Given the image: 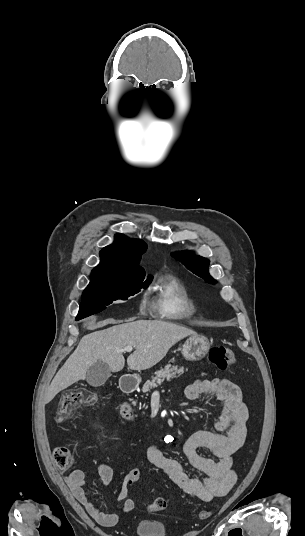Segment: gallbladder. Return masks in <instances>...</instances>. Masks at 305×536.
I'll use <instances>...</instances> for the list:
<instances>
[{
  "label": "gallbladder",
  "instance_id": "obj_1",
  "mask_svg": "<svg viewBox=\"0 0 305 536\" xmlns=\"http://www.w3.org/2000/svg\"><path fill=\"white\" fill-rule=\"evenodd\" d=\"M111 370L106 362H95L92 366H89L86 374V382L90 386H103L106 380L110 378Z\"/></svg>",
  "mask_w": 305,
  "mask_h": 536
}]
</instances>
